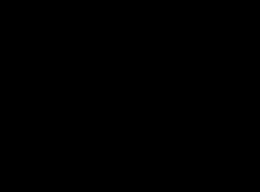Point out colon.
<instances>
[{"mask_svg":"<svg viewBox=\"0 0 260 192\" xmlns=\"http://www.w3.org/2000/svg\"><path fill=\"white\" fill-rule=\"evenodd\" d=\"M68 67H69L70 74L74 77L85 74V69L82 63L78 59L70 60Z\"/></svg>","mask_w":260,"mask_h":192,"instance_id":"obj_1","label":"colon"}]
</instances>
